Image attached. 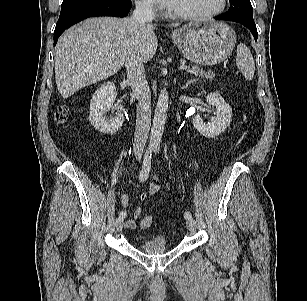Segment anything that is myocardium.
Returning <instances> with one entry per match:
<instances>
[{
  "label": "myocardium",
  "instance_id": "myocardium-1",
  "mask_svg": "<svg viewBox=\"0 0 307 301\" xmlns=\"http://www.w3.org/2000/svg\"><path fill=\"white\" fill-rule=\"evenodd\" d=\"M228 5V0H221L220 5L211 11L208 12H202V13H179V12H174L170 11L169 14L174 17L178 18L181 20H188V21H193V20H205V19H211L214 18L220 14H222Z\"/></svg>",
  "mask_w": 307,
  "mask_h": 301
}]
</instances>
